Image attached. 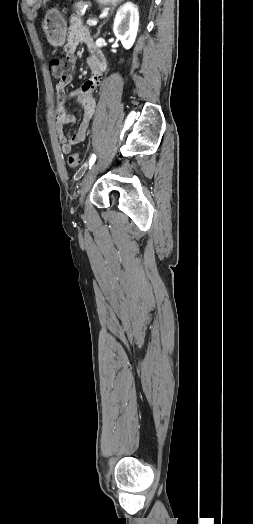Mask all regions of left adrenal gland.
Listing matches in <instances>:
<instances>
[{
    "label": "left adrenal gland",
    "mask_w": 253,
    "mask_h": 524,
    "mask_svg": "<svg viewBox=\"0 0 253 524\" xmlns=\"http://www.w3.org/2000/svg\"><path fill=\"white\" fill-rule=\"evenodd\" d=\"M106 23V19L103 21V23L98 27L96 37L100 34L101 27Z\"/></svg>",
    "instance_id": "left-adrenal-gland-1"
}]
</instances>
